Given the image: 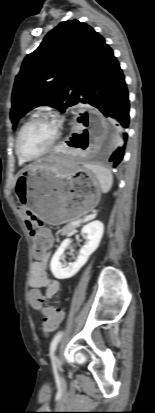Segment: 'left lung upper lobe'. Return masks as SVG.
Instances as JSON below:
<instances>
[{
    "label": "left lung upper lobe",
    "mask_w": 155,
    "mask_h": 413,
    "mask_svg": "<svg viewBox=\"0 0 155 413\" xmlns=\"http://www.w3.org/2000/svg\"><path fill=\"white\" fill-rule=\"evenodd\" d=\"M108 45L86 23L61 22L23 61L16 76L10 118L13 128L29 110L49 105L64 112L80 101L84 83Z\"/></svg>",
    "instance_id": "1"
}]
</instances>
